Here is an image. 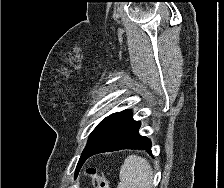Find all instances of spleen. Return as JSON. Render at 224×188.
Listing matches in <instances>:
<instances>
[{
	"instance_id": "obj_1",
	"label": "spleen",
	"mask_w": 224,
	"mask_h": 188,
	"mask_svg": "<svg viewBox=\"0 0 224 188\" xmlns=\"http://www.w3.org/2000/svg\"><path fill=\"white\" fill-rule=\"evenodd\" d=\"M152 175V168L146 159L130 155L121 166L117 188H151Z\"/></svg>"
}]
</instances>
